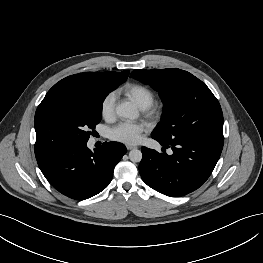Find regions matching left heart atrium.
Wrapping results in <instances>:
<instances>
[{"mask_svg": "<svg viewBox=\"0 0 263 263\" xmlns=\"http://www.w3.org/2000/svg\"><path fill=\"white\" fill-rule=\"evenodd\" d=\"M148 126L142 122H122L110 130V138L128 145L139 143Z\"/></svg>", "mask_w": 263, "mask_h": 263, "instance_id": "1", "label": "left heart atrium"}]
</instances>
